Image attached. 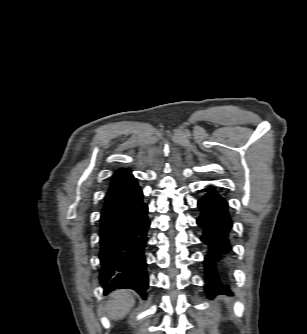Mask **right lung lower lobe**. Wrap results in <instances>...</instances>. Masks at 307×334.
<instances>
[{"mask_svg":"<svg viewBox=\"0 0 307 334\" xmlns=\"http://www.w3.org/2000/svg\"><path fill=\"white\" fill-rule=\"evenodd\" d=\"M142 191L130 175L113 185L105 197L100 218V282L107 294L130 288L146 298L148 277L144 249L150 222Z\"/></svg>","mask_w":307,"mask_h":334,"instance_id":"1","label":"right lung lower lobe"}]
</instances>
